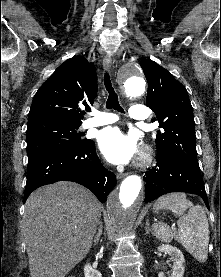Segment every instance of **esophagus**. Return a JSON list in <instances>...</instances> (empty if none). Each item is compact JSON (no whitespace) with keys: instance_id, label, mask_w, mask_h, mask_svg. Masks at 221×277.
Instances as JSON below:
<instances>
[{"instance_id":"obj_1","label":"esophagus","mask_w":221,"mask_h":277,"mask_svg":"<svg viewBox=\"0 0 221 277\" xmlns=\"http://www.w3.org/2000/svg\"><path fill=\"white\" fill-rule=\"evenodd\" d=\"M103 67L105 69V71H110L111 67H112V60L110 58V56H105L103 59ZM126 173H118L117 174V178L118 179H122L126 176Z\"/></svg>"}]
</instances>
